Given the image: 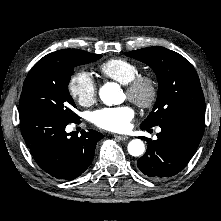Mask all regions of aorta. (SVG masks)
<instances>
[{
  "instance_id": "obj_1",
  "label": "aorta",
  "mask_w": 221,
  "mask_h": 221,
  "mask_svg": "<svg viewBox=\"0 0 221 221\" xmlns=\"http://www.w3.org/2000/svg\"><path fill=\"white\" fill-rule=\"evenodd\" d=\"M120 87L116 83H106L99 90V96L102 102L108 106L118 103ZM145 145L140 139H133L128 144V152L134 157L144 154Z\"/></svg>"
}]
</instances>
